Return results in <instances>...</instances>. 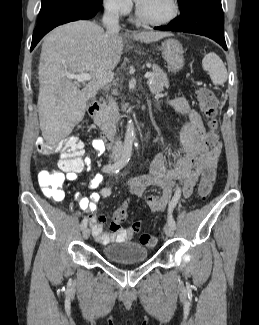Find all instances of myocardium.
I'll return each mask as SVG.
<instances>
[{
    "instance_id": "myocardium-1",
    "label": "myocardium",
    "mask_w": 259,
    "mask_h": 325,
    "mask_svg": "<svg viewBox=\"0 0 259 325\" xmlns=\"http://www.w3.org/2000/svg\"><path fill=\"white\" fill-rule=\"evenodd\" d=\"M170 3V12L162 18H152L147 16L143 10L140 4L137 5V16L139 19L147 24L150 25H165L170 22H172L179 14L180 12V5L178 0H169Z\"/></svg>"
}]
</instances>
